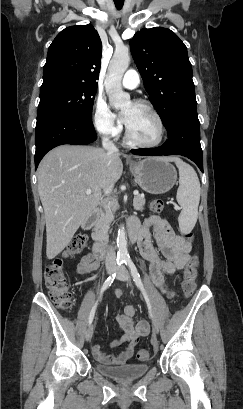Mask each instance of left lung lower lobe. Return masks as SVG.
<instances>
[{
    "mask_svg": "<svg viewBox=\"0 0 243 409\" xmlns=\"http://www.w3.org/2000/svg\"><path fill=\"white\" fill-rule=\"evenodd\" d=\"M168 139L156 148H142L131 150L135 155L160 156L182 155L197 164L203 172L202 149L200 145V122L196 106L184 109L166 128Z\"/></svg>",
    "mask_w": 243,
    "mask_h": 409,
    "instance_id": "left-lung-lower-lobe-1",
    "label": "left lung lower lobe"
}]
</instances>
